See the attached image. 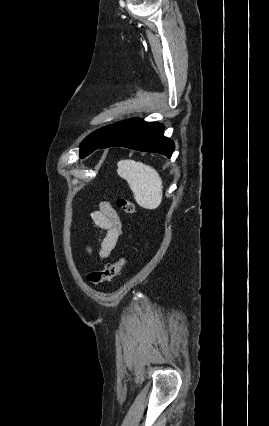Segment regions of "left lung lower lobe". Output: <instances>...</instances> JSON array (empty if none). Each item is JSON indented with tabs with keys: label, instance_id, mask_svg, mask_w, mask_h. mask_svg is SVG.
Segmentation results:
<instances>
[{
	"label": "left lung lower lobe",
	"instance_id": "1",
	"mask_svg": "<svg viewBox=\"0 0 269 426\" xmlns=\"http://www.w3.org/2000/svg\"><path fill=\"white\" fill-rule=\"evenodd\" d=\"M114 146L159 153L168 158L174 151L173 141L163 136L162 124L145 122L139 118L114 123L94 150Z\"/></svg>",
	"mask_w": 269,
	"mask_h": 426
}]
</instances>
